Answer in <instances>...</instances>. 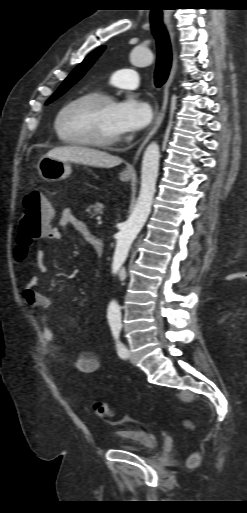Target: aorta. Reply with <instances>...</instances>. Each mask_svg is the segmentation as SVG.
Wrapping results in <instances>:
<instances>
[{"label": "aorta", "instance_id": "762f6f07", "mask_svg": "<svg viewBox=\"0 0 247 513\" xmlns=\"http://www.w3.org/2000/svg\"><path fill=\"white\" fill-rule=\"evenodd\" d=\"M130 60L134 66H148L153 61V54L148 49L138 46L132 50ZM159 159V145L156 142H151L147 146L142 158L139 197L132 214L118 233L112 264V271L115 274L120 271L133 241L151 212L153 197L156 191ZM120 310L118 303L112 302L108 310L109 320L119 322L121 320Z\"/></svg>", "mask_w": 247, "mask_h": 513}]
</instances>
